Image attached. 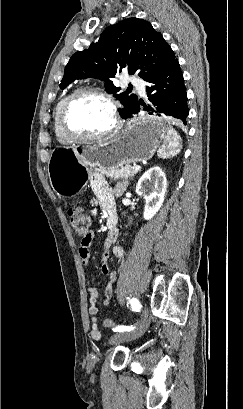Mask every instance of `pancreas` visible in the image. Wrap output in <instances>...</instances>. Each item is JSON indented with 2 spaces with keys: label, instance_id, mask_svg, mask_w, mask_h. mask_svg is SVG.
Masks as SVG:
<instances>
[{
  "label": "pancreas",
  "instance_id": "1",
  "mask_svg": "<svg viewBox=\"0 0 243 409\" xmlns=\"http://www.w3.org/2000/svg\"><path fill=\"white\" fill-rule=\"evenodd\" d=\"M99 171L111 178V179H128V178H132L135 176V174L138 173L137 170L133 169V167L126 165L124 167L121 168H115V169H99Z\"/></svg>",
  "mask_w": 243,
  "mask_h": 409
}]
</instances>
